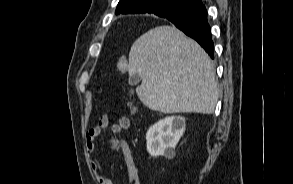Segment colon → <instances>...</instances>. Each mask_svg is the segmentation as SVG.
I'll return each mask as SVG.
<instances>
[{"mask_svg":"<svg viewBox=\"0 0 293 184\" xmlns=\"http://www.w3.org/2000/svg\"><path fill=\"white\" fill-rule=\"evenodd\" d=\"M117 66L120 72L125 73L128 69V60L124 56H120L118 58ZM131 110L134 112L136 110L135 106L131 103L130 104ZM128 127V120L126 118H122L119 123L116 125V131H122ZM118 144L115 143V146Z\"/></svg>","mask_w":293,"mask_h":184,"instance_id":"5ec220e1","label":"colon"}]
</instances>
